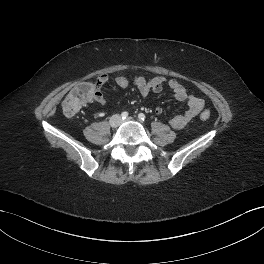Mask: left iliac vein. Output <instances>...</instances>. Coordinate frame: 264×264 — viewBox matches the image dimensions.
<instances>
[{"mask_svg": "<svg viewBox=\"0 0 264 264\" xmlns=\"http://www.w3.org/2000/svg\"><path fill=\"white\" fill-rule=\"evenodd\" d=\"M132 120V117H128L127 119H126V121H131Z\"/></svg>", "mask_w": 264, "mask_h": 264, "instance_id": "obj_1", "label": "left iliac vein"}]
</instances>
